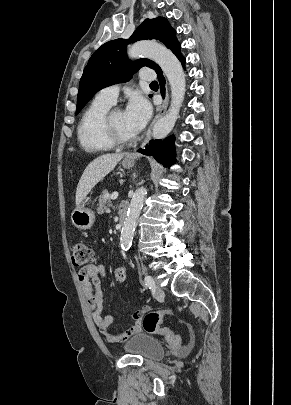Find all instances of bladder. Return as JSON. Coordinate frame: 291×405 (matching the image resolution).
I'll return each mask as SVG.
<instances>
[{"mask_svg":"<svg viewBox=\"0 0 291 405\" xmlns=\"http://www.w3.org/2000/svg\"><path fill=\"white\" fill-rule=\"evenodd\" d=\"M124 350L152 361L159 360L165 355L164 345L157 338L147 333L133 335L124 344Z\"/></svg>","mask_w":291,"mask_h":405,"instance_id":"1","label":"bladder"}]
</instances>
